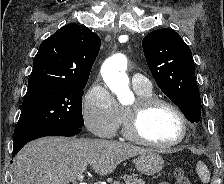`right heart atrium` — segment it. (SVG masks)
<instances>
[{
  "instance_id": "obj_1",
  "label": "right heart atrium",
  "mask_w": 224,
  "mask_h": 184,
  "mask_svg": "<svg viewBox=\"0 0 224 184\" xmlns=\"http://www.w3.org/2000/svg\"><path fill=\"white\" fill-rule=\"evenodd\" d=\"M85 126L99 137H111L121 122V108L113 94L101 82L95 81L82 102Z\"/></svg>"
}]
</instances>
